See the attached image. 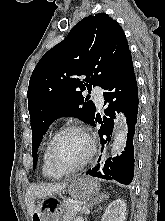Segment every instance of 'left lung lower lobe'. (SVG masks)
Returning <instances> with one entry per match:
<instances>
[{"instance_id":"obj_1","label":"left lung lower lobe","mask_w":165,"mask_h":221,"mask_svg":"<svg viewBox=\"0 0 165 221\" xmlns=\"http://www.w3.org/2000/svg\"><path fill=\"white\" fill-rule=\"evenodd\" d=\"M105 104L103 120L97 117L91 122L95 126L96 122L101 124L99 135L101 137L102 147L110 141L113 131L115 111H122L127 117L128 134L125 151L120 156L113 159H107L100 167L96 166L86 172L93 177L115 180L122 184H130L134 175V146L133 137L135 134V125L137 123L138 113V88L134 73L131 54L128 55L113 75V77L103 86ZM104 104V105H105Z\"/></svg>"}]
</instances>
